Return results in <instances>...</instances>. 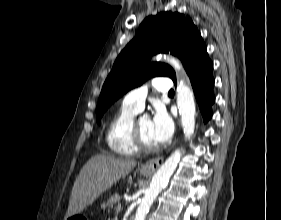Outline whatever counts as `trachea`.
<instances>
[{
    "label": "trachea",
    "instance_id": "3493384b",
    "mask_svg": "<svg viewBox=\"0 0 281 220\" xmlns=\"http://www.w3.org/2000/svg\"><path fill=\"white\" fill-rule=\"evenodd\" d=\"M168 94L169 95H173L174 94V90L171 89Z\"/></svg>",
    "mask_w": 281,
    "mask_h": 220
}]
</instances>
